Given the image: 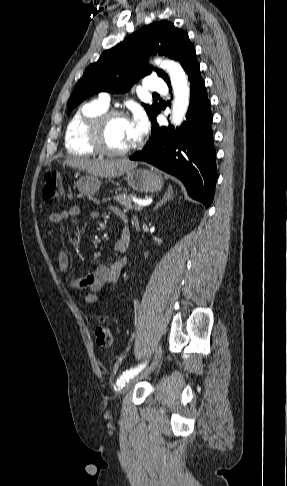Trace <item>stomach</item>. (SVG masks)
<instances>
[{"label":"stomach","instance_id":"0dacf381","mask_svg":"<svg viewBox=\"0 0 287 486\" xmlns=\"http://www.w3.org/2000/svg\"><path fill=\"white\" fill-rule=\"evenodd\" d=\"M125 180L129 187L141 193H153L163 187V178L159 174L146 169L133 168L125 172ZM101 181L96 176L81 177L77 183L78 191L84 196L94 195L100 188Z\"/></svg>","mask_w":287,"mask_h":486}]
</instances>
